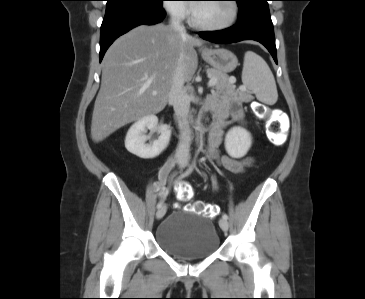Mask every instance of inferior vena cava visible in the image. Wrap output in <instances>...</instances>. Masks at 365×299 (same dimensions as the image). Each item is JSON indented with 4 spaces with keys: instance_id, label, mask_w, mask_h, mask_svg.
Masks as SVG:
<instances>
[{
    "instance_id": "inferior-vena-cava-1",
    "label": "inferior vena cava",
    "mask_w": 365,
    "mask_h": 299,
    "mask_svg": "<svg viewBox=\"0 0 365 299\" xmlns=\"http://www.w3.org/2000/svg\"><path fill=\"white\" fill-rule=\"evenodd\" d=\"M183 12L176 9L171 16V27L178 31L182 37H185L186 30L181 21ZM169 103L173 106L175 114L180 119L181 137L177 148L176 157L178 159H186L189 157L190 148V129L187 116L190 108V98L184 88L182 58H180L177 68L173 75L172 86L169 94Z\"/></svg>"
}]
</instances>
